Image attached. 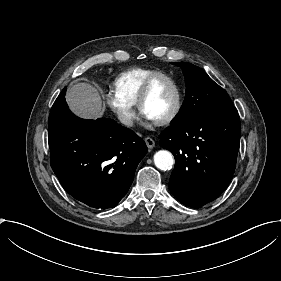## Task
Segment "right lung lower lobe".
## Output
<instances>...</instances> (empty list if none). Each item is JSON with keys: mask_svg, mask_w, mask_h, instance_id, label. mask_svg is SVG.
Wrapping results in <instances>:
<instances>
[{"mask_svg": "<svg viewBox=\"0 0 281 281\" xmlns=\"http://www.w3.org/2000/svg\"><path fill=\"white\" fill-rule=\"evenodd\" d=\"M66 87L48 122L51 167L63 188L86 205L107 209L125 196L147 153L145 142L112 119L85 120L65 101Z\"/></svg>", "mask_w": 281, "mask_h": 281, "instance_id": "98d812e1", "label": "right lung lower lobe"}]
</instances>
